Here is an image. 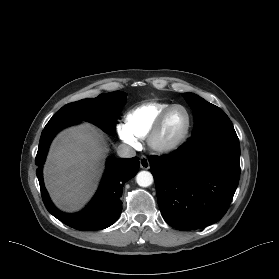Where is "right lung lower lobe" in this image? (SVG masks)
Instances as JSON below:
<instances>
[{
    "mask_svg": "<svg viewBox=\"0 0 279 279\" xmlns=\"http://www.w3.org/2000/svg\"><path fill=\"white\" fill-rule=\"evenodd\" d=\"M78 122L56 125L45 128L41 134L35 163L38 166L36 174L39 180L43 202L47 210L66 225L83 231L100 230L112 225L122 211L123 185L138 172L139 158H109L106 172L101 185L86 208L80 213L65 214L59 211L51 202L45 189L42 177V167L49 144L58 131Z\"/></svg>",
    "mask_w": 279,
    "mask_h": 279,
    "instance_id": "1",
    "label": "right lung lower lobe"
}]
</instances>
